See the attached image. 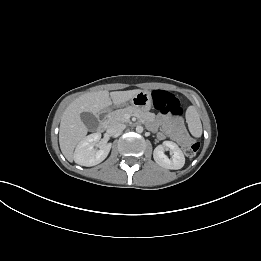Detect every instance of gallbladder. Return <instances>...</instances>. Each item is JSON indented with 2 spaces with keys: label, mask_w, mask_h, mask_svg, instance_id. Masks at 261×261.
Here are the masks:
<instances>
[{
  "label": "gallbladder",
  "mask_w": 261,
  "mask_h": 261,
  "mask_svg": "<svg viewBox=\"0 0 261 261\" xmlns=\"http://www.w3.org/2000/svg\"><path fill=\"white\" fill-rule=\"evenodd\" d=\"M80 116L81 120L89 130L95 131L98 128L99 121L93 113L83 112Z\"/></svg>",
  "instance_id": "obj_1"
}]
</instances>
